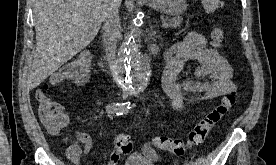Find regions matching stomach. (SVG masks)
I'll list each match as a JSON object with an SVG mask.
<instances>
[{
    "label": "stomach",
    "instance_id": "obj_1",
    "mask_svg": "<svg viewBox=\"0 0 276 165\" xmlns=\"http://www.w3.org/2000/svg\"><path fill=\"white\" fill-rule=\"evenodd\" d=\"M148 4L162 13L179 16L186 9L185 0H148Z\"/></svg>",
    "mask_w": 276,
    "mask_h": 165
}]
</instances>
